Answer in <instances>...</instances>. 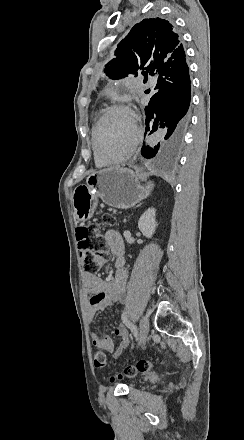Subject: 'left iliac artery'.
<instances>
[{"label": "left iliac artery", "instance_id": "obj_1", "mask_svg": "<svg viewBox=\"0 0 244 440\" xmlns=\"http://www.w3.org/2000/svg\"><path fill=\"white\" fill-rule=\"evenodd\" d=\"M121 318H122L123 323H124V324H125L130 330H131V332L133 333V335H134L135 337H137V336H138L137 328L135 327L134 324H132V323L129 321L128 316H127V310H124V311H123Z\"/></svg>", "mask_w": 244, "mask_h": 440}]
</instances>
